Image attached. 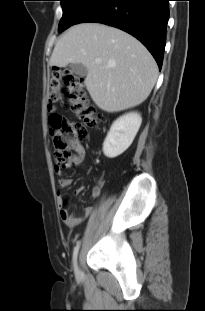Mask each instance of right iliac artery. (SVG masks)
<instances>
[{"mask_svg":"<svg viewBox=\"0 0 205 311\" xmlns=\"http://www.w3.org/2000/svg\"><path fill=\"white\" fill-rule=\"evenodd\" d=\"M79 248H80V242L77 243V245L75 246L74 251H73L72 260H73L74 267H76V260H77Z\"/></svg>","mask_w":205,"mask_h":311,"instance_id":"82829eb1","label":"right iliac artery"}]
</instances>
